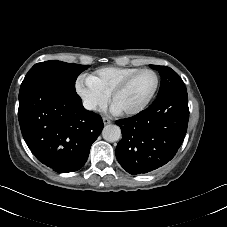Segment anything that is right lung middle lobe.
Masks as SVG:
<instances>
[{"label": "right lung middle lobe", "instance_id": "dd1d6c3e", "mask_svg": "<svg viewBox=\"0 0 227 227\" xmlns=\"http://www.w3.org/2000/svg\"><path fill=\"white\" fill-rule=\"evenodd\" d=\"M89 65L70 64L61 61H46L35 64L26 74L20 90L37 81H49L75 92L78 75Z\"/></svg>", "mask_w": 227, "mask_h": 227}]
</instances>
